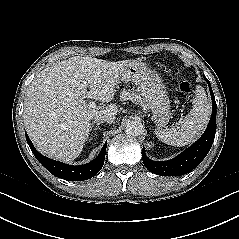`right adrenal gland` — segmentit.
<instances>
[{
  "label": "right adrenal gland",
  "instance_id": "obj_1",
  "mask_svg": "<svg viewBox=\"0 0 239 239\" xmlns=\"http://www.w3.org/2000/svg\"><path fill=\"white\" fill-rule=\"evenodd\" d=\"M101 123H102V122H100V121H97V122H96V121H93L92 124H90V130H89V131L91 132V131H92V128H93L95 125H96V126L94 127V130L97 131V129L99 128V125H100ZM94 124H95V125H94ZM91 139H92V138H90L89 140H91Z\"/></svg>",
  "mask_w": 239,
  "mask_h": 239
}]
</instances>
